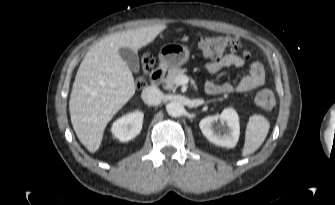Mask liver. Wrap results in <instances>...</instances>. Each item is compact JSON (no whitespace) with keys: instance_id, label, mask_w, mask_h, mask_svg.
<instances>
[{"instance_id":"6515ba94","label":"liver","mask_w":335,"mask_h":205,"mask_svg":"<svg viewBox=\"0 0 335 205\" xmlns=\"http://www.w3.org/2000/svg\"><path fill=\"white\" fill-rule=\"evenodd\" d=\"M166 28L159 24L118 32L87 51L75 76L69 111L73 129L89 152L99 149L106 125L136 91L133 74L119 49L138 51Z\"/></svg>"}]
</instances>
